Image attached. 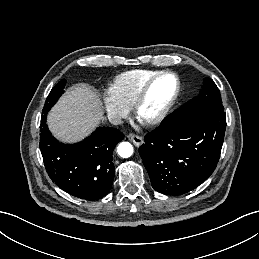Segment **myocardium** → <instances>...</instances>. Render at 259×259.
Returning <instances> with one entry per match:
<instances>
[{
    "mask_svg": "<svg viewBox=\"0 0 259 259\" xmlns=\"http://www.w3.org/2000/svg\"><path fill=\"white\" fill-rule=\"evenodd\" d=\"M165 76L173 77L176 82V88H175V92H174L172 98L167 103V105L163 108V110L159 114H157L155 117L148 119V120H141L139 118V111L147 97V94H148L150 88L157 80H159L160 78H163ZM180 91H181V82H180L178 75L175 72L168 71V70L158 72L143 85V87L139 91V93L132 105V111H133V115H134L135 119L146 126H154V125L160 124L168 116V114L174 107V105L179 97Z\"/></svg>",
    "mask_w": 259,
    "mask_h": 259,
    "instance_id": "myocardium-1",
    "label": "myocardium"
}]
</instances>
